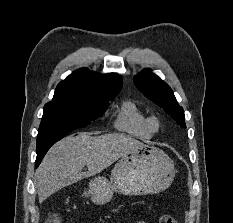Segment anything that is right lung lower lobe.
<instances>
[{
	"instance_id": "98d812e1",
	"label": "right lung lower lobe",
	"mask_w": 233,
	"mask_h": 223,
	"mask_svg": "<svg viewBox=\"0 0 233 223\" xmlns=\"http://www.w3.org/2000/svg\"><path fill=\"white\" fill-rule=\"evenodd\" d=\"M47 151H48V149L46 151H42L41 153L37 154L36 167H38V165L42 161V159H43V157H44V155L46 154Z\"/></svg>"
}]
</instances>
